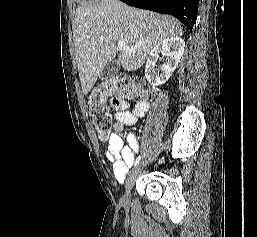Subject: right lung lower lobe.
Here are the masks:
<instances>
[{
	"instance_id": "1",
	"label": "right lung lower lobe",
	"mask_w": 257,
	"mask_h": 237,
	"mask_svg": "<svg viewBox=\"0 0 257 237\" xmlns=\"http://www.w3.org/2000/svg\"><path fill=\"white\" fill-rule=\"evenodd\" d=\"M126 4L161 14H170L192 31L199 0H121Z\"/></svg>"
}]
</instances>
